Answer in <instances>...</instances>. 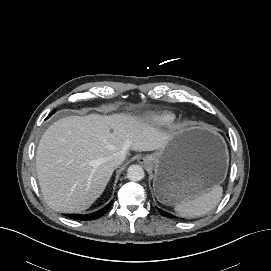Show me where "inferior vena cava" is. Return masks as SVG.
<instances>
[{"instance_id":"602c4592","label":"inferior vena cava","mask_w":271,"mask_h":271,"mask_svg":"<svg viewBox=\"0 0 271 271\" xmlns=\"http://www.w3.org/2000/svg\"><path fill=\"white\" fill-rule=\"evenodd\" d=\"M125 157L124 152H116L109 157L108 162L112 167L117 168L125 160Z\"/></svg>"}]
</instances>
